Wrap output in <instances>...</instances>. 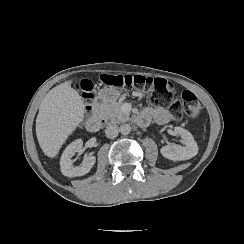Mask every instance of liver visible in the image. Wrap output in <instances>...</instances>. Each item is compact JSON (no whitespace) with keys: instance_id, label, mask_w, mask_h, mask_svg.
<instances>
[{"instance_id":"liver-1","label":"liver","mask_w":244,"mask_h":244,"mask_svg":"<svg viewBox=\"0 0 244 244\" xmlns=\"http://www.w3.org/2000/svg\"><path fill=\"white\" fill-rule=\"evenodd\" d=\"M85 112L71 81L57 85L45 95L36 118V135L46 156L53 158L58 154L67 137L83 121Z\"/></svg>"}]
</instances>
